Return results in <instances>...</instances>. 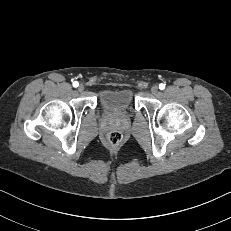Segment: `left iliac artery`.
Listing matches in <instances>:
<instances>
[{
  "mask_svg": "<svg viewBox=\"0 0 231 231\" xmlns=\"http://www.w3.org/2000/svg\"><path fill=\"white\" fill-rule=\"evenodd\" d=\"M159 89H160V90L165 89V84L161 83V84L159 85Z\"/></svg>",
  "mask_w": 231,
  "mask_h": 231,
  "instance_id": "obj_1",
  "label": "left iliac artery"
}]
</instances>
